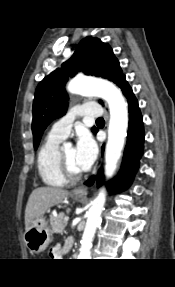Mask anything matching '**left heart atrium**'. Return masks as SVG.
Returning a JSON list of instances; mask_svg holds the SVG:
<instances>
[{
  "mask_svg": "<svg viewBox=\"0 0 175 287\" xmlns=\"http://www.w3.org/2000/svg\"><path fill=\"white\" fill-rule=\"evenodd\" d=\"M97 153L98 148L92 136L86 131H81L77 137L75 154L77 163L82 171L91 167L97 157Z\"/></svg>",
  "mask_w": 175,
  "mask_h": 287,
  "instance_id": "1",
  "label": "left heart atrium"
}]
</instances>
